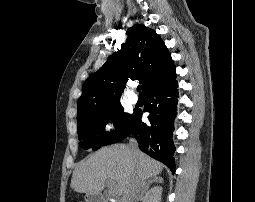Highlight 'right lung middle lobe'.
<instances>
[{
    "instance_id": "1",
    "label": "right lung middle lobe",
    "mask_w": 255,
    "mask_h": 202,
    "mask_svg": "<svg viewBox=\"0 0 255 202\" xmlns=\"http://www.w3.org/2000/svg\"><path fill=\"white\" fill-rule=\"evenodd\" d=\"M134 114L124 112L120 103L89 111L77 118L80 147L96 150L101 145L113 144L124 139ZM115 121L116 130L105 132V125Z\"/></svg>"
}]
</instances>
